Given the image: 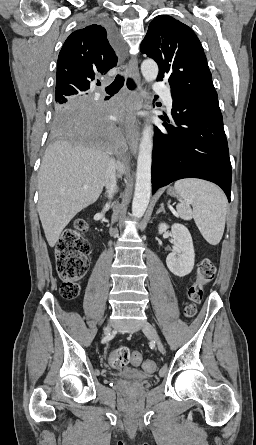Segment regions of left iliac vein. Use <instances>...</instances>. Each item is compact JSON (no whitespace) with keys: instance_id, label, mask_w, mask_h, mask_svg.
<instances>
[{"instance_id":"left-iliac-vein-1","label":"left iliac vein","mask_w":256,"mask_h":445,"mask_svg":"<svg viewBox=\"0 0 256 445\" xmlns=\"http://www.w3.org/2000/svg\"><path fill=\"white\" fill-rule=\"evenodd\" d=\"M142 330L145 335L149 336L152 340L156 342L159 351L164 354L165 353L164 345L154 326L149 322H145L142 327Z\"/></svg>"}]
</instances>
